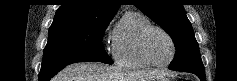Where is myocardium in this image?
<instances>
[{
  "instance_id": "1",
  "label": "myocardium",
  "mask_w": 237,
  "mask_h": 81,
  "mask_svg": "<svg viewBox=\"0 0 237 81\" xmlns=\"http://www.w3.org/2000/svg\"><path fill=\"white\" fill-rule=\"evenodd\" d=\"M153 31H159L161 33H163L170 41L171 46H172V55L170 57V59L165 62V63H156L154 62L149 53H148V48H147V40L149 35L151 34V32ZM140 52L141 55L143 56V58L148 62L149 65L157 67V68H164L167 67L168 65H170V63H172V61L174 60L175 56H176V44L175 41L173 39V37L163 28L159 27V26H155V25H151L148 28H146L140 38Z\"/></svg>"
}]
</instances>
